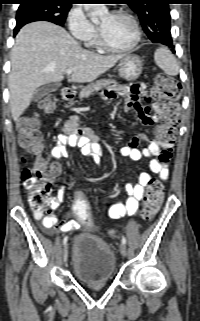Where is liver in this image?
<instances>
[{
    "mask_svg": "<svg viewBox=\"0 0 200 321\" xmlns=\"http://www.w3.org/2000/svg\"><path fill=\"white\" fill-rule=\"evenodd\" d=\"M124 55L103 56L83 49L62 27L38 21L24 26L11 51L8 85L14 121L30 105L34 92L60 82L73 69L70 82L88 83L112 68Z\"/></svg>",
    "mask_w": 200,
    "mask_h": 321,
    "instance_id": "1",
    "label": "liver"
}]
</instances>
